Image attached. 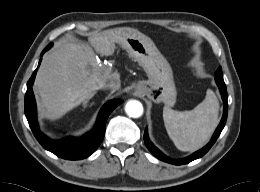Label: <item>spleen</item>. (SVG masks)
<instances>
[{
    "instance_id": "3e777b00",
    "label": "spleen",
    "mask_w": 260,
    "mask_h": 192,
    "mask_svg": "<svg viewBox=\"0 0 260 192\" xmlns=\"http://www.w3.org/2000/svg\"><path fill=\"white\" fill-rule=\"evenodd\" d=\"M219 102L212 90L190 111L163 108L164 125L170 139L181 151H195L211 137L218 125Z\"/></svg>"
}]
</instances>
